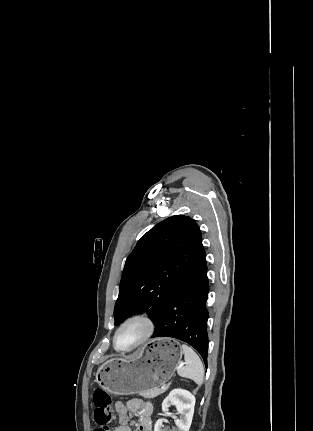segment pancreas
<instances>
[{
  "instance_id": "obj_1",
  "label": "pancreas",
  "mask_w": 313,
  "mask_h": 431,
  "mask_svg": "<svg viewBox=\"0 0 313 431\" xmlns=\"http://www.w3.org/2000/svg\"><path fill=\"white\" fill-rule=\"evenodd\" d=\"M168 387H164L162 389H150L140 392L139 394L143 396L144 398L153 399L157 397L158 395L164 393Z\"/></svg>"
}]
</instances>
